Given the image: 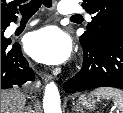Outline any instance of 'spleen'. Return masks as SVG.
<instances>
[{
    "mask_svg": "<svg viewBox=\"0 0 123 113\" xmlns=\"http://www.w3.org/2000/svg\"><path fill=\"white\" fill-rule=\"evenodd\" d=\"M90 96L99 99L112 98L116 107L123 113V91L111 87H104L92 91Z\"/></svg>",
    "mask_w": 123,
    "mask_h": 113,
    "instance_id": "1",
    "label": "spleen"
}]
</instances>
